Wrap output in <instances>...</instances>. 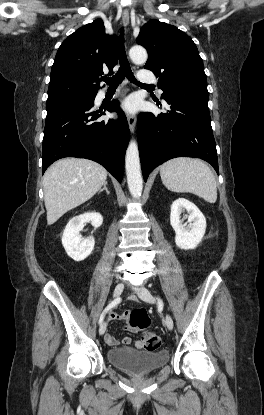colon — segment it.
<instances>
[{
  "label": "colon",
  "mask_w": 264,
  "mask_h": 415,
  "mask_svg": "<svg viewBox=\"0 0 264 415\" xmlns=\"http://www.w3.org/2000/svg\"><path fill=\"white\" fill-rule=\"evenodd\" d=\"M130 325L142 331V345L145 350L155 351L160 346L159 337L148 328L150 317L143 309H135L129 315Z\"/></svg>",
  "instance_id": "obj_1"
}]
</instances>
